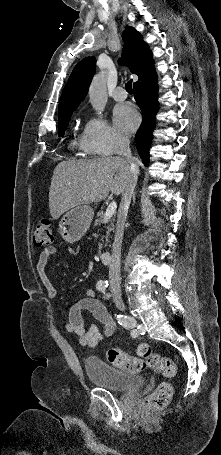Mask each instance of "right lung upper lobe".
Returning <instances> with one entry per match:
<instances>
[{"instance_id":"right-lung-upper-lobe-1","label":"right lung upper lobe","mask_w":221,"mask_h":455,"mask_svg":"<svg viewBox=\"0 0 221 455\" xmlns=\"http://www.w3.org/2000/svg\"><path fill=\"white\" fill-rule=\"evenodd\" d=\"M124 48L120 63L129 67L130 71L138 77L153 61L151 50L143 41L142 35L133 27H128L123 35ZM96 60L87 57L80 61L72 71L65 85L58 112L74 111L87 95L92 77L95 74Z\"/></svg>"}]
</instances>
